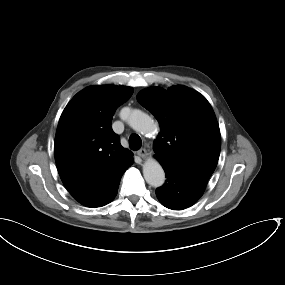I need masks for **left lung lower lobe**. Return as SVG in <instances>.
<instances>
[{
	"label": "left lung lower lobe",
	"instance_id": "obj_1",
	"mask_svg": "<svg viewBox=\"0 0 285 285\" xmlns=\"http://www.w3.org/2000/svg\"><path fill=\"white\" fill-rule=\"evenodd\" d=\"M161 165L167 180L156 190L158 200L173 210H183L192 206L202 196L208 180L170 164Z\"/></svg>",
	"mask_w": 285,
	"mask_h": 285
}]
</instances>
